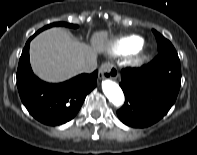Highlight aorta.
Here are the masks:
<instances>
[{
	"instance_id": "1",
	"label": "aorta",
	"mask_w": 197,
	"mask_h": 155,
	"mask_svg": "<svg viewBox=\"0 0 197 155\" xmlns=\"http://www.w3.org/2000/svg\"><path fill=\"white\" fill-rule=\"evenodd\" d=\"M102 90L105 96L114 106H122L124 103V94L117 83L111 80H104L102 82Z\"/></svg>"
}]
</instances>
